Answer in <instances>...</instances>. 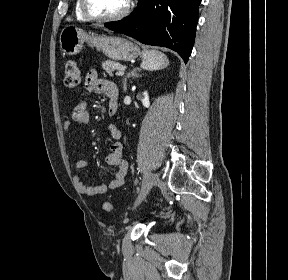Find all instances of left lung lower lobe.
Returning <instances> with one entry per match:
<instances>
[{"label":"left lung lower lobe","mask_w":288,"mask_h":280,"mask_svg":"<svg viewBox=\"0 0 288 280\" xmlns=\"http://www.w3.org/2000/svg\"><path fill=\"white\" fill-rule=\"evenodd\" d=\"M201 0H140L125 19L106 23L138 41L176 51L186 63L191 54Z\"/></svg>","instance_id":"1"}]
</instances>
